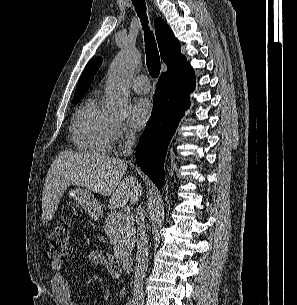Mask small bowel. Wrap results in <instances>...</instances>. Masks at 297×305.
<instances>
[{
  "instance_id": "c3829d8e",
  "label": "small bowel",
  "mask_w": 297,
  "mask_h": 305,
  "mask_svg": "<svg viewBox=\"0 0 297 305\" xmlns=\"http://www.w3.org/2000/svg\"><path fill=\"white\" fill-rule=\"evenodd\" d=\"M89 261L95 265L105 266L113 278L117 279L121 276L120 265L117 260L106 251H92L89 255ZM51 267L53 269V274L50 285L54 296L62 305H78L72 297L70 285L62 273V262L58 259H52Z\"/></svg>"
}]
</instances>
